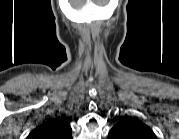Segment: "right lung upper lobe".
<instances>
[{"label": "right lung upper lobe", "instance_id": "cb5924a9", "mask_svg": "<svg viewBox=\"0 0 179 139\" xmlns=\"http://www.w3.org/2000/svg\"><path fill=\"white\" fill-rule=\"evenodd\" d=\"M29 139H71V127L62 118L50 120L36 127Z\"/></svg>", "mask_w": 179, "mask_h": 139}]
</instances>
